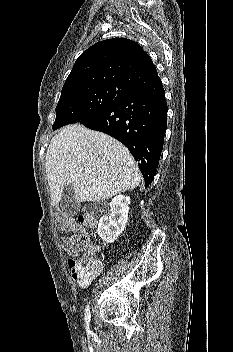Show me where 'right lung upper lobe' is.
I'll use <instances>...</instances> for the list:
<instances>
[{"label": "right lung upper lobe", "mask_w": 233, "mask_h": 352, "mask_svg": "<svg viewBox=\"0 0 233 352\" xmlns=\"http://www.w3.org/2000/svg\"><path fill=\"white\" fill-rule=\"evenodd\" d=\"M159 80L150 56L139 44L113 38L94 44L78 57L61 94L110 84L137 91Z\"/></svg>", "instance_id": "cb5924a9"}]
</instances>
